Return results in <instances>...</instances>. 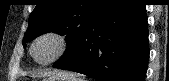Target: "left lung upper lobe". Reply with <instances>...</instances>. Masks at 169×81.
<instances>
[{
	"mask_svg": "<svg viewBox=\"0 0 169 81\" xmlns=\"http://www.w3.org/2000/svg\"><path fill=\"white\" fill-rule=\"evenodd\" d=\"M111 0H39L29 16L23 44L41 34L55 32L66 35L67 49L53 67L66 62L74 52L87 27Z\"/></svg>",
	"mask_w": 169,
	"mask_h": 81,
	"instance_id": "left-lung-upper-lobe-1",
	"label": "left lung upper lobe"
}]
</instances>
